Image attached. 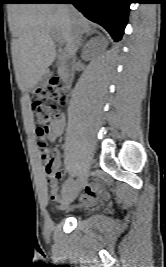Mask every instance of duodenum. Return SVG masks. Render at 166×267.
Returning a JSON list of instances; mask_svg holds the SVG:
<instances>
[{
	"instance_id": "1",
	"label": "duodenum",
	"mask_w": 166,
	"mask_h": 267,
	"mask_svg": "<svg viewBox=\"0 0 166 267\" xmlns=\"http://www.w3.org/2000/svg\"><path fill=\"white\" fill-rule=\"evenodd\" d=\"M58 74L66 86H70L74 79V68L71 64H62L58 67Z\"/></svg>"
}]
</instances>
